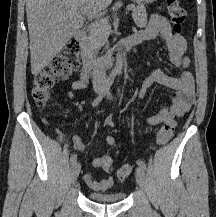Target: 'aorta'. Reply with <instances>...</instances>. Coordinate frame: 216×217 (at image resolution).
I'll return each instance as SVG.
<instances>
[{"mask_svg": "<svg viewBox=\"0 0 216 217\" xmlns=\"http://www.w3.org/2000/svg\"><path fill=\"white\" fill-rule=\"evenodd\" d=\"M123 66H124V55L122 53V48L119 47L117 55H116L115 66H114V68L112 70V74L113 75H120V74H122Z\"/></svg>", "mask_w": 216, "mask_h": 217, "instance_id": "aorta-1", "label": "aorta"}]
</instances>
